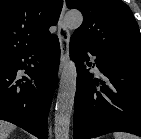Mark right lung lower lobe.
Wrapping results in <instances>:
<instances>
[{
    "mask_svg": "<svg viewBox=\"0 0 141 139\" xmlns=\"http://www.w3.org/2000/svg\"><path fill=\"white\" fill-rule=\"evenodd\" d=\"M60 62L57 36L47 43L0 59V119L48 138V112ZM19 69L25 76L18 79Z\"/></svg>",
    "mask_w": 141,
    "mask_h": 139,
    "instance_id": "right-lung-lower-lobe-1",
    "label": "right lung lower lobe"
}]
</instances>
